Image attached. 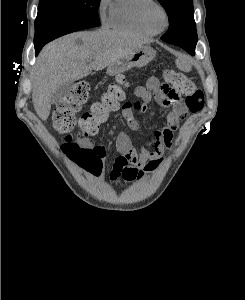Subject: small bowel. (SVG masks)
I'll return each mask as SVG.
<instances>
[{
  "mask_svg": "<svg viewBox=\"0 0 245 300\" xmlns=\"http://www.w3.org/2000/svg\"><path fill=\"white\" fill-rule=\"evenodd\" d=\"M155 100L162 106L170 107L166 116V124L154 132V136L145 146L135 147L131 138L125 133L120 132L116 138L117 156L113 162L110 173L111 182L116 184L120 180L131 182L140 178L145 173L155 170L163 161L165 150H170L174 133L177 131L180 122L188 114V109L184 101L179 97L176 91L160 84L157 79L150 78L146 86H137L134 94L140 99V108L134 106V102H126L121 107V114L128 128L137 131L140 123L136 119L134 112H144L146 104L152 99V93ZM83 147L91 148L96 152L100 163L105 159V148L90 139L80 141ZM98 172V173H99Z\"/></svg>",
  "mask_w": 245,
  "mask_h": 300,
  "instance_id": "small-bowel-1",
  "label": "small bowel"
}]
</instances>
